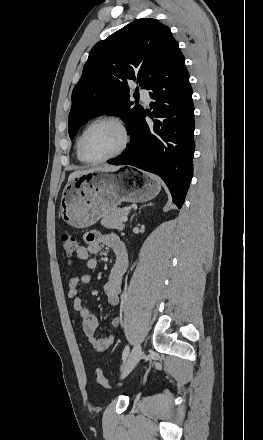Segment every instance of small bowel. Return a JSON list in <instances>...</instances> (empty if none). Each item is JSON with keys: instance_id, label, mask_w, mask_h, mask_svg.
Listing matches in <instances>:
<instances>
[{"instance_id": "c3829d8e", "label": "small bowel", "mask_w": 263, "mask_h": 440, "mask_svg": "<svg viewBox=\"0 0 263 440\" xmlns=\"http://www.w3.org/2000/svg\"><path fill=\"white\" fill-rule=\"evenodd\" d=\"M85 245H81L76 250L77 258L85 262L89 270L97 267L96 255L100 252L101 246L110 247L115 254V261L111 268L108 280L104 285V292L110 305L119 304L120 293L125 273L128 268V255L126 246L120 237L115 233H101L99 231H89L84 235ZM92 279L90 272H84L74 276L69 280L68 297L73 302V307L78 313L83 332L87 338L90 347L96 352L107 350L116 340L115 332L109 333L104 338L96 336L98 326L97 317L84 304L83 296L79 292V286L90 283ZM120 324L119 317L112 320V326L117 327Z\"/></svg>"}]
</instances>
